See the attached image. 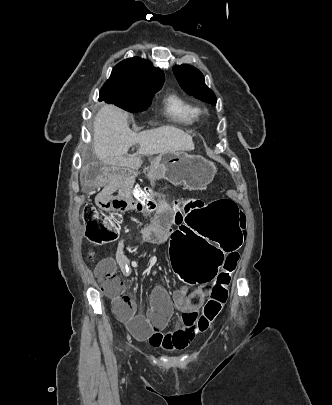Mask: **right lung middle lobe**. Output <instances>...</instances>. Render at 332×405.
Listing matches in <instances>:
<instances>
[{"label":"right lung middle lobe","mask_w":332,"mask_h":405,"mask_svg":"<svg viewBox=\"0 0 332 405\" xmlns=\"http://www.w3.org/2000/svg\"><path fill=\"white\" fill-rule=\"evenodd\" d=\"M162 85H136L123 78L110 77L100 90L99 101L113 103L129 112L145 111L152 102L153 95Z\"/></svg>","instance_id":"right-lung-middle-lobe-1"}]
</instances>
